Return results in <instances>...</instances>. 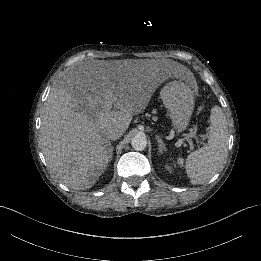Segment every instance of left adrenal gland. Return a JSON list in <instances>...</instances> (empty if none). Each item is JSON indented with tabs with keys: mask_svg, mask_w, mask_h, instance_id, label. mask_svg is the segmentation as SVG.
I'll return each mask as SVG.
<instances>
[{
	"mask_svg": "<svg viewBox=\"0 0 261 261\" xmlns=\"http://www.w3.org/2000/svg\"><path fill=\"white\" fill-rule=\"evenodd\" d=\"M156 140L159 143V155L163 156V153H167L166 148L163 144V141L160 139V136L156 135Z\"/></svg>",
	"mask_w": 261,
	"mask_h": 261,
	"instance_id": "left-adrenal-gland-1",
	"label": "left adrenal gland"
}]
</instances>
